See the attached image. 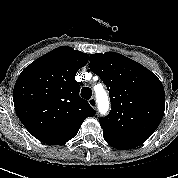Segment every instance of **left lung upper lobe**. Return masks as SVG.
<instances>
[{
	"label": "left lung upper lobe",
	"instance_id": "left-lung-upper-lobe-1",
	"mask_svg": "<svg viewBox=\"0 0 178 178\" xmlns=\"http://www.w3.org/2000/svg\"><path fill=\"white\" fill-rule=\"evenodd\" d=\"M89 67L110 95L111 111L99 119L105 141L121 150L144 143L164 115L161 81L140 63L115 52L91 54Z\"/></svg>",
	"mask_w": 178,
	"mask_h": 178
}]
</instances>
